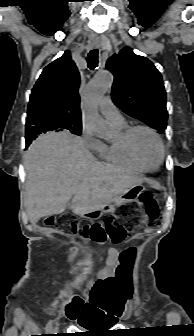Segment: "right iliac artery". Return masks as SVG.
<instances>
[{
  "label": "right iliac artery",
  "instance_id": "right-iliac-artery-1",
  "mask_svg": "<svg viewBox=\"0 0 194 336\" xmlns=\"http://www.w3.org/2000/svg\"><path fill=\"white\" fill-rule=\"evenodd\" d=\"M52 323H53L52 320H50L48 322V324L46 325V328H45L46 332H51V330H52Z\"/></svg>",
  "mask_w": 194,
  "mask_h": 336
}]
</instances>
